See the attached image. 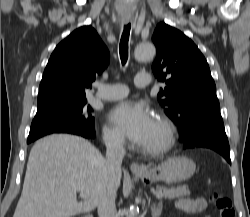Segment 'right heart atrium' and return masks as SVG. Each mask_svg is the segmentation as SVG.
Returning <instances> with one entry per match:
<instances>
[{"instance_id": "obj_1", "label": "right heart atrium", "mask_w": 250, "mask_h": 217, "mask_svg": "<svg viewBox=\"0 0 250 217\" xmlns=\"http://www.w3.org/2000/svg\"><path fill=\"white\" fill-rule=\"evenodd\" d=\"M103 139L109 147L123 148L125 146L124 135L116 128L110 126L103 127Z\"/></svg>"}]
</instances>
